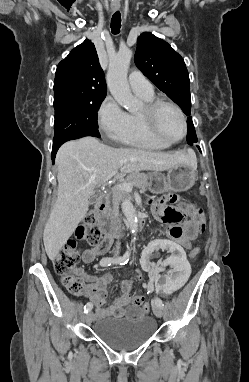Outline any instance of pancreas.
<instances>
[{
  "label": "pancreas",
  "mask_w": 249,
  "mask_h": 382,
  "mask_svg": "<svg viewBox=\"0 0 249 382\" xmlns=\"http://www.w3.org/2000/svg\"><path fill=\"white\" fill-rule=\"evenodd\" d=\"M124 182H133L135 187L140 188L142 190H146L151 186V182L149 181V176L145 173L133 172L130 173ZM130 195L127 191L119 189L117 186L112 189L111 203H112V211L114 213L118 212L120 202L129 198Z\"/></svg>",
  "instance_id": "obj_1"
}]
</instances>
